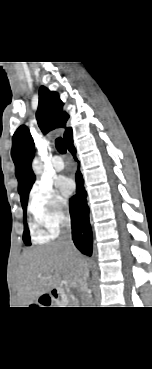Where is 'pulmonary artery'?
Returning a JSON list of instances; mask_svg holds the SVG:
<instances>
[{
    "mask_svg": "<svg viewBox=\"0 0 152 369\" xmlns=\"http://www.w3.org/2000/svg\"><path fill=\"white\" fill-rule=\"evenodd\" d=\"M52 167L57 172H60L64 169L65 165L60 156L56 155L52 158Z\"/></svg>",
    "mask_w": 152,
    "mask_h": 369,
    "instance_id": "pulmonary-artery-1",
    "label": "pulmonary artery"
}]
</instances>
